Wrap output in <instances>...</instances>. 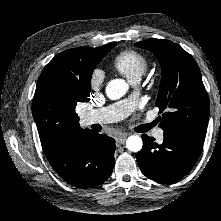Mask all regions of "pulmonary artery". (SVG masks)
I'll return each mask as SVG.
<instances>
[{"mask_svg":"<svg viewBox=\"0 0 221 221\" xmlns=\"http://www.w3.org/2000/svg\"><path fill=\"white\" fill-rule=\"evenodd\" d=\"M137 83L138 81H134L132 84L136 85ZM133 107L134 98L129 97L110 106L83 113L81 116V122L84 126L91 124L111 123L128 116L132 112ZM163 134V130L158 128L153 132L152 135L157 139H161Z\"/></svg>","mask_w":221,"mask_h":221,"instance_id":"obj_1","label":"pulmonary artery"}]
</instances>
